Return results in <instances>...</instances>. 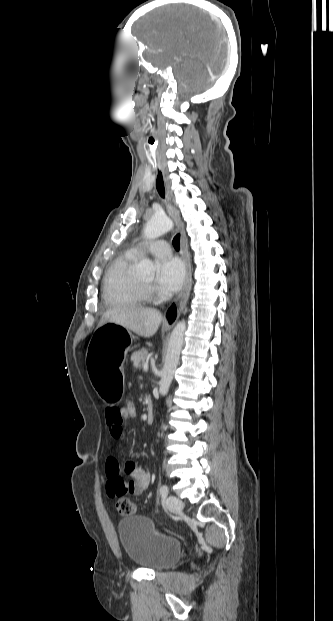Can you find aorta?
Instances as JSON below:
<instances>
[{
  "instance_id": "aorta-1",
  "label": "aorta",
  "mask_w": 333,
  "mask_h": 621,
  "mask_svg": "<svg viewBox=\"0 0 333 621\" xmlns=\"http://www.w3.org/2000/svg\"><path fill=\"white\" fill-rule=\"evenodd\" d=\"M172 227L173 222L167 215H155L147 221L143 234L146 239H156L170 231ZM154 271V264L149 259H143L136 268V274L140 277L153 278ZM185 330L186 323L182 320L177 323L171 333L164 366L161 372V379L159 382V392L163 396L169 391L175 370L179 363Z\"/></svg>"
}]
</instances>
